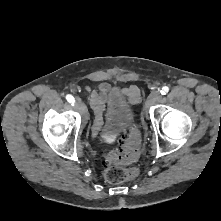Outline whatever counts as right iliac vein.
Masks as SVG:
<instances>
[{
	"mask_svg": "<svg viewBox=\"0 0 221 221\" xmlns=\"http://www.w3.org/2000/svg\"><path fill=\"white\" fill-rule=\"evenodd\" d=\"M75 107L83 115L84 122H85L87 119V108H86L85 104L81 100L78 99Z\"/></svg>",
	"mask_w": 221,
	"mask_h": 221,
	"instance_id": "obj_1",
	"label": "right iliac vein"
}]
</instances>
